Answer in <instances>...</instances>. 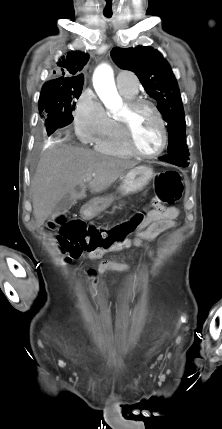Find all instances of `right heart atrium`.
<instances>
[{
	"mask_svg": "<svg viewBox=\"0 0 222 429\" xmlns=\"http://www.w3.org/2000/svg\"><path fill=\"white\" fill-rule=\"evenodd\" d=\"M76 133L84 143L96 142L106 131L109 116L91 89L84 90L73 111Z\"/></svg>",
	"mask_w": 222,
	"mask_h": 429,
	"instance_id": "obj_1",
	"label": "right heart atrium"
}]
</instances>
